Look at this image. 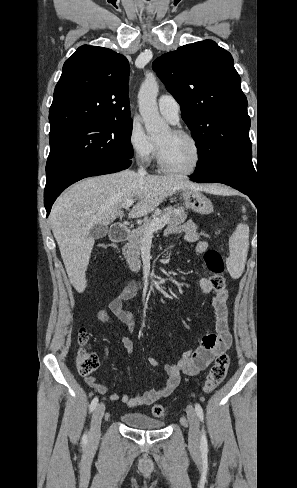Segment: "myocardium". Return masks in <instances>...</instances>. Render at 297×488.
I'll return each mask as SVG.
<instances>
[{"label": "myocardium", "instance_id": "myocardium-1", "mask_svg": "<svg viewBox=\"0 0 297 488\" xmlns=\"http://www.w3.org/2000/svg\"><path fill=\"white\" fill-rule=\"evenodd\" d=\"M171 132L176 136L184 137V138H187L189 141H191V143L194 146L195 152H196L195 161L189 169H186V170L173 169L170 166H168L166 164V162L164 161L162 149L159 146V144H157V147H156L157 164L163 172L168 173V174L177 175V176L192 175L193 173H195L199 169V167L202 163L203 153H202V148L200 146V143L193 134H191L190 132H188L186 130L172 129Z\"/></svg>", "mask_w": 297, "mask_h": 488}]
</instances>
